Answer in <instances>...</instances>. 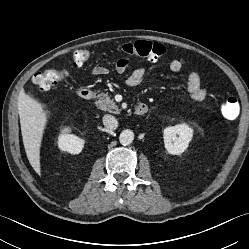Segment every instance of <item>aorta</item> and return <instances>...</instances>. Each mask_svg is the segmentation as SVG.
<instances>
[{
  "instance_id": "obj_1",
  "label": "aorta",
  "mask_w": 249,
  "mask_h": 249,
  "mask_svg": "<svg viewBox=\"0 0 249 249\" xmlns=\"http://www.w3.org/2000/svg\"><path fill=\"white\" fill-rule=\"evenodd\" d=\"M134 140V133L129 129H125L120 133L119 141L122 145L126 146L133 142Z\"/></svg>"
}]
</instances>
